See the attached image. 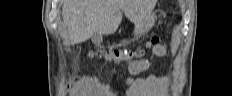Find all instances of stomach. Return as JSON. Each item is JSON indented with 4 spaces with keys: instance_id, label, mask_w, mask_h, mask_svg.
Segmentation results:
<instances>
[{
    "instance_id": "0dacf381",
    "label": "stomach",
    "mask_w": 232,
    "mask_h": 96,
    "mask_svg": "<svg viewBox=\"0 0 232 96\" xmlns=\"http://www.w3.org/2000/svg\"><path fill=\"white\" fill-rule=\"evenodd\" d=\"M155 15L153 13L148 14L144 20L138 24L135 28L137 34H144L148 32L154 25Z\"/></svg>"
}]
</instances>
